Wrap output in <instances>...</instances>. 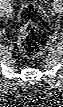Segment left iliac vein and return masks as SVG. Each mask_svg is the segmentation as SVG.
Masks as SVG:
<instances>
[{
  "label": "left iliac vein",
  "mask_w": 63,
  "mask_h": 107,
  "mask_svg": "<svg viewBox=\"0 0 63 107\" xmlns=\"http://www.w3.org/2000/svg\"><path fill=\"white\" fill-rule=\"evenodd\" d=\"M54 8H55V11L58 12V13H61L62 12V7L61 5H59L58 3H54Z\"/></svg>",
  "instance_id": "4c4485c4"
}]
</instances>
